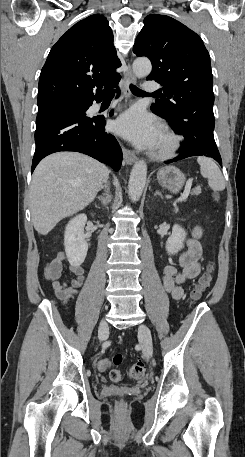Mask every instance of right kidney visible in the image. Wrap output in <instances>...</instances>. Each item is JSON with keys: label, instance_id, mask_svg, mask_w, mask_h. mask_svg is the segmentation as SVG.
I'll return each mask as SVG.
<instances>
[{"label": "right kidney", "instance_id": "ca27d5eb", "mask_svg": "<svg viewBox=\"0 0 245 457\" xmlns=\"http://www.w3.org/2000/svg\"><path fill=\"white\" fill-rule=\"evenodd\" d=\"M87 222L86 214H77L69 220L64 235L66 257L71 267H80L85 261L88 243L85 241L84 226Z\"/></svg>", "mask_w": 245, "mask_h": 457}]
</instances>
